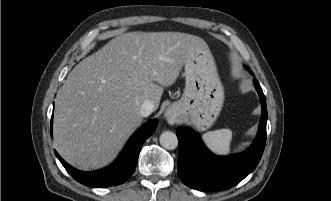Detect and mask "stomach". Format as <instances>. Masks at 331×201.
Segmentation results:
<instances>
[{
	"label": "stomach",
	"instance_id": "0dacf381",
	"mask_svg": "<svg viewBox=\"0 0 331 201\" xmlns=\"http://www.w3.org/2000/svg\"><path fill=\"white\" fill-rule=\"evenodd\" d=\"M184 69V92L172 110L203 132L214 124L224 102V89L208 46L196 48L185 60Z\"/></svg>",
	"mask_w": 331,
	"mask_h": 201
}]
</instances>
